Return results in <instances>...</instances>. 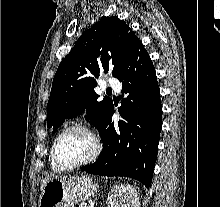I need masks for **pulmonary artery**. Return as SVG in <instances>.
Wrapping results in <instances>:
<instances>
[{"instance_id": "1", "label": "pulmonary artery", "mask_w": 220, "mask_h": 207, "mask_svg": "<svg viewBox=\"0 0 220 207\" xmlns=\"http://www.w3.org/2000/svg\"><path fill=\"white\" fill-rule=\"evenodd\" d=\"M105 87L112 88L115 91H120L121 83L117 79L110 78L106 81Z\"/></svg>"}]
</instances>
